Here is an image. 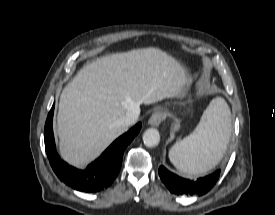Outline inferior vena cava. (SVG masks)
Segmentation results:
<instances>
[{
  "label": "inferior vena cava",
  "instance_id": "obj_1",
  "mask_svg": "<svg viewBox=\"0 0 275 215\" xmlns=\"http://www.w3.org/2000/svg\"><path fill=\"white\" fill-rule=\"evenodd\" d=\"M139 114H140V108L139 106H135L126 112L125 116H123L119 120V123L125 126L133 125L137 122Z\"/></svg>",
  "mask_w": 275,
  "mask_h": 215
}]
</instances>
